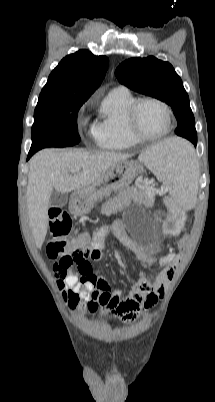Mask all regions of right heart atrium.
<instances>
[{
	"mask_svg": "<svg viewBox=\"0 0 215 402\" xmlns=\"http://www.w3.org/2000/svg\"><path fill=\"white\" fill-rule=\"evenodd\" d=\"M94 130H95V128H94V126H92V127L90 128V133H91L92 135H94Z\"/></svg>",
	"mask_w": 215,
	"mask_h": 402,
	"instance_id": "1",
	"label": "right heart atrium"
}]
</instances>
